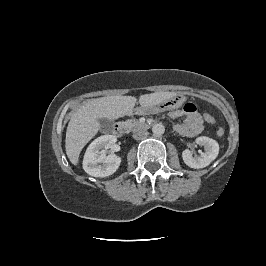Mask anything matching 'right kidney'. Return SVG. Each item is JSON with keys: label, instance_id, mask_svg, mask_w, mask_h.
I'll use <instances>...</instances> for the list:
<instances>
[{"label": "right kidney", "instance_id": "obj_1", "mask_svg": "<svg viewBox=\"0 0 266 266\" xmlns=\"http://www.w3.org/2000/svg\"><path fill=\"white\" fill-rule=\"evenodd\" d=\"M116 141L117 138L114 135H103L89 145L83 159V169L87 174L94 177H107L117 171L121 158L114 154H106L107 149L112 148Z\"/></svg>", "mask_w": 266, "mask_h": 266}]
</instances>
